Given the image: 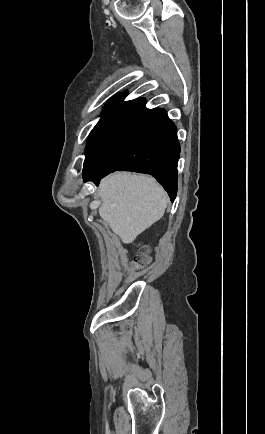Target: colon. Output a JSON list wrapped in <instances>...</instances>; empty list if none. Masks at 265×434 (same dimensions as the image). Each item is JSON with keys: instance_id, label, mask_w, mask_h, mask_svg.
<instances>
[{"instance_id": "colon-1", "label": "colon", "mask_w": 265, "mask_h": 434, "mask_svg": "<svg viewBox=\"0 0 265 434\" xmlns=\"http://www.w3.org/2000/svg\"><path fill=\"white\" fill-rule=\"evenodd\" d=\"M149 265V261L145 260L142 256L138 257L130 268V274L132 276H137L142 272L143 269H145Z\"/></svg>"}]
</instances>
